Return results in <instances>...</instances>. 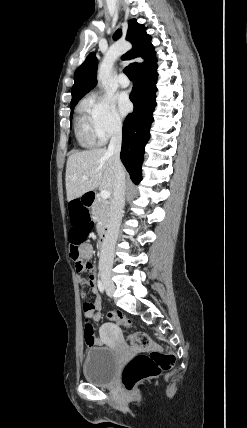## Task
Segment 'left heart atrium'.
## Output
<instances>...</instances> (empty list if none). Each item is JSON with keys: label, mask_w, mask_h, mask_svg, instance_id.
Returning a JSON list of instances; mask_svg holds the SVG:
<instances>
[{"label": "left heart atrium", "mask_w": 247, "mask_h": 428, "mask_svg": "<svg viewBox=\"0 0 247 428\" xmlns=\"http://www.w3.org/2000/svg\"><path fill=\"white\" fill-rule=\"evenodd\" d=\"M118 110L122 115L127 114L131 110V102L125 93H120L116 97Z\"/></svg>", "instance_id": "obj_1"}]
</instances>
